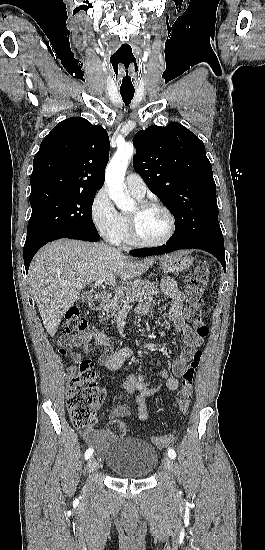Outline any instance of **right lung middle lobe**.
Listing matches in <instances>:
<instances>
[{
    "mask_svg": "<svg viewBox=\"0 0 265 550\" xmlns=\"http://www.w3.org/2000/svg\"><path fill=\"white\" fill-rule=\"evenodd\" d=\"M95 193L37 190L30 194L32 214L28 222L24 250L65 231L98 234L91 207Z\"/></svg>",
    "mask_w": 265,
    "mask_h": 550,
    "instance_id": "dd1d6c3e",
    "label": "right lung middle lobe"
}]
</instances>
